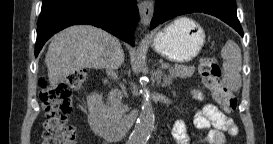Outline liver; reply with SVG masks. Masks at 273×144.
<instances>
[{
    "mask_svg": "<svg viewBox=\"0 0 273 144\" xmlns=\"http://www.w3.org/2000/svg\"><path fill=\"white\" fill-rule=\"evenodd\" d=\"M106 31L90 25H75L56 34L45 57L51 86L83 68H104V54L112 41ZM122 51L116 67L122 65Z\"/></svg>",
    "mask_w": 273,
    "mask_h": 144,
    "instance_id": "obj_1",
    "label": "liver"
}]
</instances>
